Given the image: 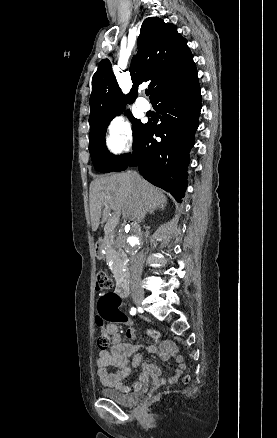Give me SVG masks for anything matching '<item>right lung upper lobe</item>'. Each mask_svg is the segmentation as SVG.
Masks as SVG:
<instances>
[{
	"instance_id": "obj_1",
	"label": "right lung upper lobe",
	"mask_w": 277,
	"mask_h": 438,
	"mask_svg": "<svg viewBox=\"0 0 277 438\" xmlns=\"http://www.w3.org/2000/svg\"><path fill=\"white\" fill-rule=\"evenodd\" d=\"M138 54L133 57L130 75L134 86L124 96L116 82L108 59L102 60L92 78L89 124L103 123L120 115L125 103L137 96V86L149 82L151 98L165 85L190 74L196 65L187 40L174 24L158 17L146 18L138 37ZM130 114L129 111L125 112Z\"/></svg>"
}]
</instances>
